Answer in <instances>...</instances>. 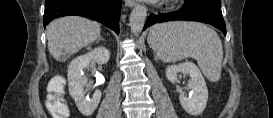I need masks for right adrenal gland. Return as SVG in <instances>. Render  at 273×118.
<instances>
[{"instance_id": "2a0ac1e0", "label": "right adrenal gland", "mask_w": 273, "mask_h": 118, "mask_svg": "<svg viewBox=\"0 0 273 118\" xmlns=\"http://www.w3.org/2000/svg\"><path fill=\"white\" fill-rule=\"evenodd\" d=\"M100 40H103L102 36H99L97 42H99Z\"/></svg>"}]
</instances>
